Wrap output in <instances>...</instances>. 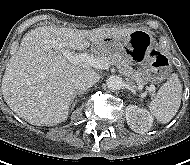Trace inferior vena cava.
I'll list each match as a JSON object with an SVG mask.
<instances>
[{
	"label": "inferior vena cava",
	"instance_id": "inferior-vena-cava-1",
	"mask_svg": "<svg viewBox=\"0 0 190 165\" xmlns=\"http://www.w3.org/2000/svg\"><path fill=\"white\" fill-rule=\"evenodd\" d=\"M99 80V75L94 71H84L75 80V87L79 91H85Z\"/></svg>",
	"mask_w": 190,
	"mask_h": 165
}]
</instances>
